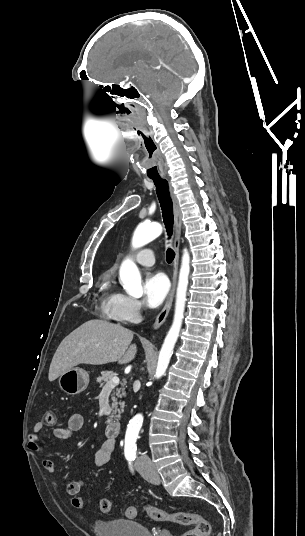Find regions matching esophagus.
<instances>
[{"mask_svg": "<svg viewBox=\"0 0 305 536\" xmlns=\"http://www.w3.org/2000/svg\"><path fill=\"white\" fill-rule=\"evenodd\" d=\"M169 186H170L171 198L173 200V211H174V219H175V243H174L175 258L173 260L172 287H171L170 293L166 299V302L162 311L159 313V315L157 316L155 320V323H154L155 330H157L164 323V321L166 320L171 310L173 298L175 294L176 283H177V273H178V265H179V245H180V236H181V229H182V212H181L177 197L171 186V183H169Z\"/></svg>", "mask_w": 305, "mask_h": 536, "instance_id": "esophagus-1", "label": "esophagus"}]
</instances>
